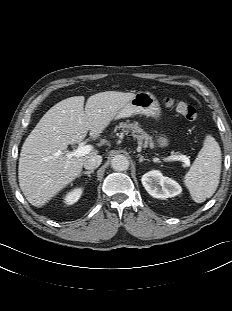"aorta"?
Instances as JSON below:
<instances>
[{"instance_id":"762f6f07","label":"aorta","mask_w":232,"mask_h":311,"mask_svg":"<svg viewBox=\"0 0 232 311\" xmlns=\"http://www.w3.org/2000/svg\"><path fill=\"white\" fill-rule=\"evenodd\" d=\"M111 167L115 171H125L129 168V160L124 155H116L111 160Z\"/></svg>"}]
</instances>
